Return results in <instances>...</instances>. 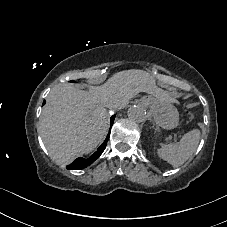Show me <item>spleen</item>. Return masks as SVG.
<instances>
[{"label":"spleen","instance_id":"3e777b00","mask_svg":"<svg viewBox=\"0 0 227 227\" xmlns=\"http://www.w3.org/2000/svg\"><path fill=\"white\" fill-rule=\"evenodd\" d=\"M200 141V132L192 130L173 144L155 149L157 157L166 161L174 168L182 166L195 152Z\"/></svg>","mask_w":227,"mask_h":227}]
</instances>
